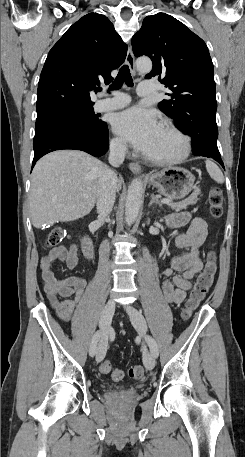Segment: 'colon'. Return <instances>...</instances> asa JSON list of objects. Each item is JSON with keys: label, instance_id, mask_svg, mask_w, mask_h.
<instances>
[{"label": "colon", "instance_id": "5ec220e1", "mask_svg": "<svg viewBox=\"0 0 245 457\" xmlns=\"http://www.w3.org/2000/svg\"><path fill=\"white\" fill-rule=\"evenodd\" d=\"M208 203L212 217L219 218L223 214V194L222 191L213 187L208 194ZM65 237V233L61 228L51 229L45 239L47 247H56ZM217 271V262L214 252L210 251L205 259L204 268L198 275L196 282L190 291L189 297L186 301L185 307L182 312V317L187 320L191 317L194 311L198 308L199 304L205 299L209 290L211 289L214 277ZM99 369L102 373H110L111 378L115 381L122 379L123 372L119 369H112L111 362L104 360L100 363ZM144 375V368L142 365L137 364L129 367L128 376L132 379H141Z\"/></svg>", "mask_w": 245, "mask_h": 457}]
</instances>
